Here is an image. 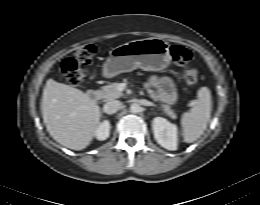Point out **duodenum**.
<instances>
[{
  "instance_id": "obj_1",
  "label": "duodenum",
  "mask_w": 260,
  "mask_h": 205,
  "mask_svg": "<svg viewBox=\"0 0 260 205\" xmlns=\"http://www.w3.org/2000/svg\"><path fill=\"white\" fill-rule=\"evenodd\" d=\"M99 97H100V94H99V92L96 91V90H89V91L87 92V98H88L90 101H92V102L97 101V100L99 99Z\"/></svg>"
}]
</instances>
